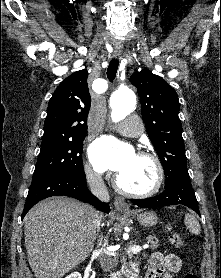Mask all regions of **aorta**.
<instances>
[{
	"label": "aorta",
	"mask_w": 221,
	"mask_h": 278,
	"mask_svg": "<svg viewBox=\"0 0 221 278\" xmlns=\"http://www.w3.org/2000/svg\"><path fill=\"white\" fill-rule=\"evenodd\" d=\"M111 118L119 122L128 116L136 106V96L130 89L115 92L110 98Z\"/></svg>",
	"instance_id": "762f6f07"
}]
</instances>
